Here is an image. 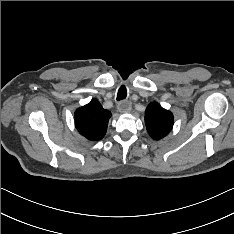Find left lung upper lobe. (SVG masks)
<instances>
[{
  "label": "left lung upper lobe",
  "instance_id": "5c2ea615",
  "mask_svg": "<svg viewBox=\"0 0 234 234\" xmlns=\"http://www.w3.org/2000/svg\"><path fill=\"white\" fill-rule=\"evenodd\" d=\"M145 123L149 135L154 140H160L171 131L174 117L170 111L153 102L146 108Z\"/></svg>",
  "mask_w": 234,
  "mask_h": 234
}]
</instances>
